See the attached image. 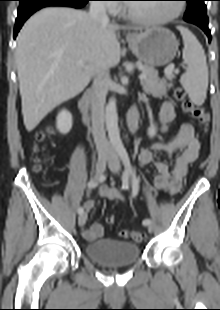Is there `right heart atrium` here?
Returning <instances> with one entry per match:
<instances>
[{
	"label": "right heart atrium",
	"mask_w": 220,
	"mask_h": 310,
	"mask_svg": "<svg viewBox=\"0 0 220 310\" xmlns=\"http://www.w3.org/2000/svg\"><path fill=\"white\" fill-rule=\"evenodd\" d=\"M107 3L105 5V8L110 12H116L117 11V5L115 1L113 0H105Z\"/></svg>",
	"instance_id": "right-heart-atrium-1"
}]
</instances>
